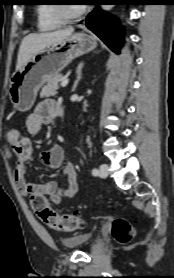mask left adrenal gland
<instances>
[{
	"label": "left adrenal gland",
	"instance_id": "obj_1",
	"mask_svg": "<svg viewBox=\"0 0 174 278\" xmlns=\"http://www.w3.org/2000/svg\"><path fill=\"white\" fill-rule=\"evenodd\" d=\"M82 67H83V63H80L77 67V70H76V73H77V78L74 82V85H73V88H72V92L75 91L79 81L81 80L82 78Z\"/></svg>",
	"mask_w": 174,
	"mask_h": 278
}]
</instances>
